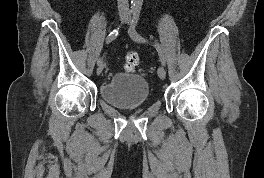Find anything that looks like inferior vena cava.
<instances>
[{
  "mask_svg": "<svg viewBox=\"0 0 264 178\" xmlns=\"http://www.w3.org/2000/svg\"><path fill=\"white\" fill-rule=\"evenodd\" d=\"M118 10L120 13H128L129 12V4L128 0H117Z\"/></svg>",
  "mask_w": 264,
  "mask_h": 178,
  "instance_id": "inferior-vena-cava-1",
  "label": "inferior vena cava"
}]
</instances>
